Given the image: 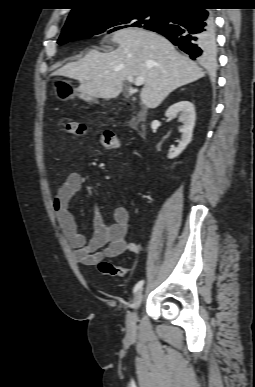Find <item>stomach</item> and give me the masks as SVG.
Here are the masks:
<instances>
[{
	"mask_svg": "<svg viewBox=\"0 0 255 387\" xmlns=\"http://www.w3.org/2000/svg\"><path fill=\"white\" fill-rule=\"evenodd\" d=\"M56 89V95L60 99H68L73 97L74 95H78L81 99H84L85 101L89 102H96V100L93 97H90L85 94L77 93L76 91L72 90L68 86V81L67 80H58L57 81V87Z\"/></svg>",
	"mask_w": 255,
	"mask_h": 387,
	"instance_id": "obj_1",
	"label": "stomach"
}]
</instances>
